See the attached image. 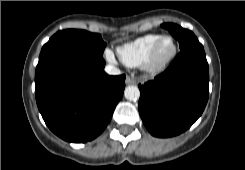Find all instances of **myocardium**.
Listing matches in <instances>:
<instances>
[{
    "label": "myocardium",
    "mask_w": 245,
    "mask_h": 170,
    "mask_svg": "<svg viewBox=\"0 0 245 170\" xmlns=\"http://www.w3.org/2000/svg\"><path fill=\"white\" fill-rule=\"evenodd\" d=\"M165 40H168L171 44V49L167 55L163 58H158V50L161 43ZM177 53V46L174 38L170 35L160 36L151 46L147 52L143 63L142 68L150 75H156L163 72L175 58Z\"/></svg>",
    "instance_id": "1"
}]
</instances>
